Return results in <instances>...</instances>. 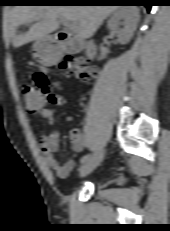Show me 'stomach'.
<instances>
[{"mask_svg": "<svg viewBox=\"0 0 170 231\" xmlns=\"http://www.w3.org/2000/svg\"><path fill=\"white\" fill-rule=\"evenodd\" d=\"M32 50L33 57L41 64L52 65L58 60V56L50 46L47 37L36 40Z\"/></svg>", "mask_w": 170, "mask_h": 231, "instance_id": "obj_1", "label": "stomach"}]
</instances>
